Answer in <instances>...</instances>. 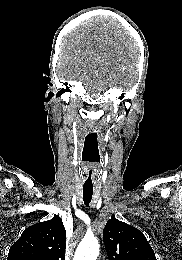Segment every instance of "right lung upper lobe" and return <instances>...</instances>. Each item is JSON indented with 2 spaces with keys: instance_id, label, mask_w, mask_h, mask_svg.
Listing matches in <instances>:
<instances>
[{
  "instance_id": "1",
  "label": "right lung upper lobe",
  "mask_w": 182,
  "mask_h": 260,
  "mask_svg": "<svg viewBox=\"0 0 182 260\" xmlns=\"http://www.w3.org/2000/svg\"><path fill=\"white\" fill-rule=\"evenodd\" d=\"M66 231L59 215L24 230L7 260H64Z\"/></svg>"
}]
</instances>
